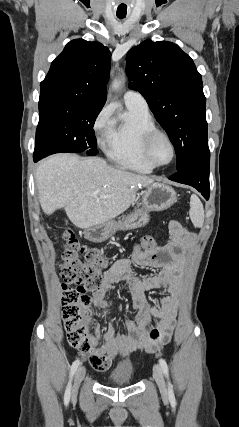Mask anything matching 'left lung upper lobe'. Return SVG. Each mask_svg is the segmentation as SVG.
Returning a JSON list of instances; mask_svg holds the SVG:
<instances>
[{
	"label": "left lung upper lobe",
	"mask_w": 239,
	"mask_h": 427,
	"mask_svg": "<svg viewBox=\"0 0 239 427\" xmlns=\"http://www.w3.org/2000/svg\"><path fill=\"white\" fill-rule=\"evenodd\" d=\"M128 86L146 99L174 145L177 171L210 153L206 98L193 60L172 42L146 40L126 56Z\"/></svg>",
	"instance_id": "left-lung-upper-lobe-1"
}]
</instances>
